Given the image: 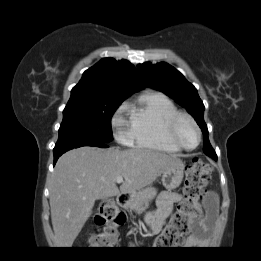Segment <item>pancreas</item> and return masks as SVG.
Segmentation results:
<instances>
[{
    "instance_id": "pancreas-1",
    "label": "pancreas",
    "mask_w": 261,
    "mask_h": 261,
    "mask_svg": "<svg viewBox=\"0 0 261 261\" xmlns=\"http://www.w3.org/2000/svg\"><path fill=\"white\" fill-rule=\"evenodd\" d=\"M148 208V204L146 203L145 205H140L135 208V211L137 214H142L146 209Z\"/></svg>"
}]
</instances>
